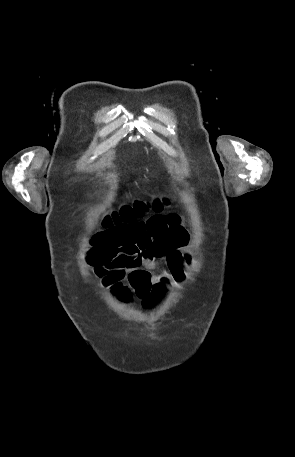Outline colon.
Segmentation results:
<instances>
[{
    "label": "colon",
    "instance_id": "1",
    "mask_svg": "<svg viewBox=\"0 0 295 457\" xmlns=\"http://www.w3.org/2000/svg\"><path fill=\"white\" fill-rule=\"evenodd\" d=\"M165 202L156 199L153 201L135 200L132 204L123 205L119 209L110 212L103 220L105 227H113L120 225H129L143 217L149 211H160L163 209ZM140 250L131 245L128 246L122 253H112L101 259L96 267L95 272L98 276L103 277L108 284H114L123 280L127 271L140 264ZM158 286L152 289L145 285L138 291V295L145 298L146 303L152 302ZM117 296L119 300L126 302L129 299L128 291L118 288Z\"/></svg>",
    "mask_w": 295,
    "mask_h": 457
}]
</instances>
